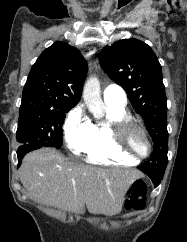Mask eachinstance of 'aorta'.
<instances>
[{
    "instance_id": "762f6f07",
    "label": "aorta",
    "mask_w": 187,
    "mask_h": 242,
    "mask_svg": "<svg viewBox=\"0 0 187 242\" xmlns=\"http://www.w3.org/2000/svg\"><path fill=\"white\" fill-rule=\"evenodd\" d=\"M83 100L96 119L104 116V104L101 99L100 82L97 77H90L86 81L83 89Z\"/></svg>"
}]
</instances>
